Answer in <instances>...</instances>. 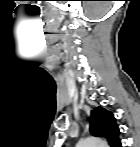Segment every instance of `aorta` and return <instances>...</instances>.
Segmentation results:
<instances>
[{
    "mask_svg": "<svg viewBox=\"0 0 140 147\" xmlns=\"http://www.w3.org/2000/svg\"><path fill=\"white\" fill-rule=\"evenodd\" d=\"M78 147H106L107 143L100 138L88 137L82 139L77 144Z\"/></svg>",
    "mask_w": 140,
    "mask_h": 147,
    "instance_id": "762f6f07",
    "label": "aorta"
}]
</instances>
